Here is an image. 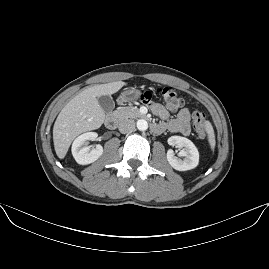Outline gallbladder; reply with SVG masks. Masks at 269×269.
<instances>
[{"label":"gallbladder","instance_id":"1","mask_svg":"<svg viewBox=\"0 0 269 269\" xmlns=\"http://www.w3.org/2000/svg\"><path fill=\"white\" fill-rule=\"evenodd\" d=\"M98 103L101 106V108L104 110L106 113L112 112V110L115 107V103L112 99L111 96L109 95H103L98 98Z\"/></svg>","mask_w":269,"mask_h":269}]
</instances>
